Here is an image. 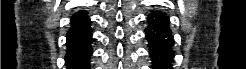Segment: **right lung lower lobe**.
Returning a JSON list of instances; mask_svg holds the SVG:
<instances>
[{"label":"right lung lower lobe","instance_id":"obj_1","mask_svg":"<svg viewBox=\"0 0 246 69\" xmlns=\"http://www.w3.org/2000/svg\"><path fill=\"white\" fill-rule=\"evenodd\" d=\"M67 34L66 62L69 69H89L92 54V33L86 11L74 14Z\"/></svg>","mask_w":246,"mask_h":69}]
</instances>
